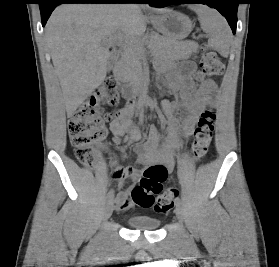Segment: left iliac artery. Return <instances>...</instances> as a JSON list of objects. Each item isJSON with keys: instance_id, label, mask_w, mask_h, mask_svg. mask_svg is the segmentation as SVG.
<instances>
[{"instance_id": "44dca946", "label": "left iliac artery", "mask_w": 279, "mask_h": 267, "mask_svg": "<svg viewBox=\"0 0 279 267\" xmlns=\"http://www.w3.org/2000/svg\"><path fill=\"white\" fill-rule=\"evenodd\" d=\"M180 205H181L180 199H176V206H180Z\"/></svg>"}]
</instances>
